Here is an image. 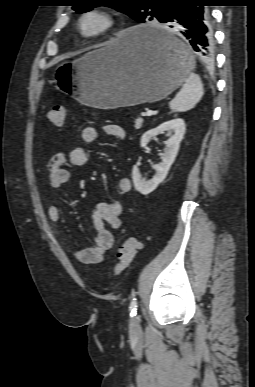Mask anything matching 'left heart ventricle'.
<instances>
[{
  "mask_svg": "<svg viewBox=\"0 0 255 387\" xmlns=\"http://www.w3.org/2000/svg\"><path fill=\"white\" fill-rule=\"evenodd\" d=\"M94 25H95V21L91 20V21L88 22V26H89V27H92V26H94Z\"/></svg>",
  "mask_w": 255,
  "mask_h": 387,
  "instance_id": "b2bd125f",
  "label": "left heart ventricle"
}]
</instances>
